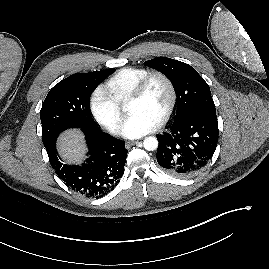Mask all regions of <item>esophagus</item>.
Listing matches in <instances>:
<instances>
[{
    "instance_id": "obj_1",
    "label": "esophagus",
    "mask_w": 269,
    "mask_h": 269,
    "mask_svg": "<svg viewBox=\"0 0 269 269\" xmlns=\"http://www.w3.org/2000/svg\"><path fill=\"white\" fill-rule=\"evenodd\" d=\"M138 142L139 141H128L125 143V147L129 149L130 147L136 145Z\"/></svg>"
}]
</instances>
